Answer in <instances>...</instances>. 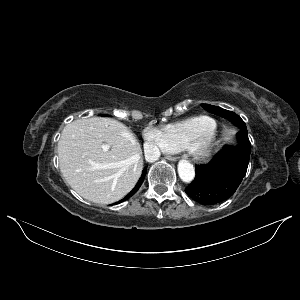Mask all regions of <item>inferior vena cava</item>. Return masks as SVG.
<instances>
[{
    "label": "inferior vena cava",
    "mask_w": 300,
    "mask_h": 300,
    "mask_svg": "<svg viewBox=\"0 0 300 300\" xmlns=\"http://www.w3.org/2000/svg\"><path fill=\"white\" fill-rule=\"evenodd\" d=\"M160 150L153 145L145 148V156L148 161H155L160 157Z\"/></svg>",
    "instance_id": "1"
}]
</instances>
